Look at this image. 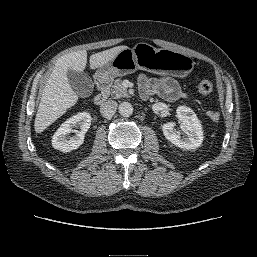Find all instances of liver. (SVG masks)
Instances as JSON below:
<instances>
[{"label":"liver","instance_id":"1","mask_svg":"<svg viewBox=\"0 0 257 257\" xmlns=\"http://www.w3.org/2000/svg\"><path fill=\"white\" fill-rule=\"evenodd\" d=\"M126 48L128 47L117 46L91 55L89 59L90 68L96 69L106 65ZM86 64L87 52L85 50L66 54L57 60L43 89L35 117L34 128L37 133L43 132L76 104L78 96L69 83L67 73L69 70L83 72Z\"/></svg>","mask_w":257,"mask_h":257}]
</instances>
